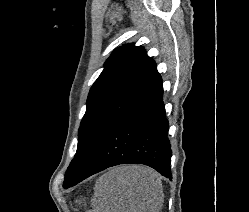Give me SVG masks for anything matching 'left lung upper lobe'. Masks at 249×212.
<instances>
[{
	"label": "left lung upper lobe",
	"mask_w": 249,
	"mask_h": 212,
	"mask_svg": "<svg viewBox=\"0 0 249 212\" xmlns=\"http://www.w3.org/2000/svg\"><path fill=\"white\" fill-rule=\"evenodd\" d=\"M157 74L155 62L142 46L130 43L113 51L90 89L77 152L66 171L63 187L80 177L110 129Z\"/></svg>",
	"instance_id": "left-lung-upper-lobe-1"
}]
</instances>
